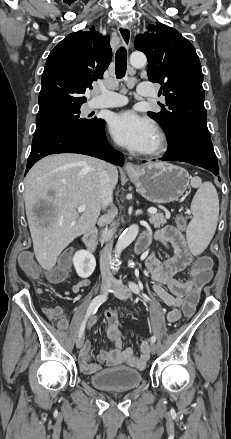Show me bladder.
I'll use <instances>...</instances> for the list:
<instances>
[{"label":"bladder","instance_id":"bladder-1","mask_svg":"<svg viewBox=\"0 0 231 439\" xmlns=\"http://www.w3.org/2000/svg\"><path fill=\"white\" fill-rule=\"evenodd\" d=\"M142 374L129 367L118 366L104 369L89 377L95 388L106 391H127L138 387L142 382Z\"/></svg>","mask_w":231,"mask_h":439}]
</instances>
